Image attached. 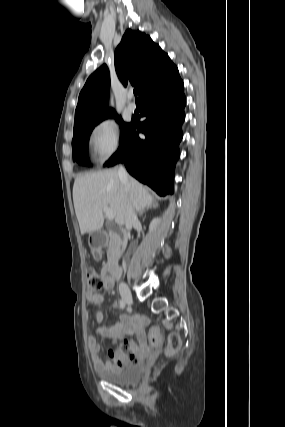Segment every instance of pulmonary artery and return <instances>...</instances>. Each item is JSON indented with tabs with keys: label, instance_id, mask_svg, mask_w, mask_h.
Here are the masks:
<instances>
[{
	"label": "pulmonary artery",
	"instance_id": "obj_1",
	"mask_svg": "<svg viewBox=\"0 0 285 427\" xmlns=\"http://www.w3.org/2000/svg\"><path fill=\"white\" fill-rule=\"evenodd\" d=\"M127 108L130 112H134L137 108L136 103L132 100V95H129V103Z\"/></svg>",
	"mask_w": 285,
	"mask_h": 427
}]
</instances>
